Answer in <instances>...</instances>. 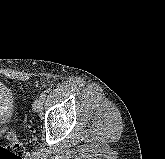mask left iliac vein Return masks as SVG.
Listing matches in <instances>:
<instances>
[{"instance_id":"left-iliac-vein-1","label":"left iliac vein","mask_w":165,"mask_h":159,"mask_svg":"<svg viewBox=\"0 0 165 159\" xmlns=\"http://www.w3.org/2000/svg\"><path fill=\"white\" fill-rule=\"evenodd\" d=\"M44 100H42L40 97L37 98L33 103V110L38 112L42 109Z\"/></svg>"}]
</instances>
